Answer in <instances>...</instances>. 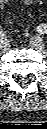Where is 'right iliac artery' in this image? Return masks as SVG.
Wrapping results in <instances>:
<instances>
[{"instance_id": "82829eb1", "label": "right iliac artery", "mask_w": 47, "mask_h": 129, "mask_svg": "<svg viewBox=\"0 0 47 129\" xmlns=\"http://www.w3.org/2000/svg\"><path fill=\"white\" fill-rule=\"evenodd\" d=\"M6 40V35L4 34L3 31L0 32V41L4 42Z\"/></svg>"}]
</instances>
